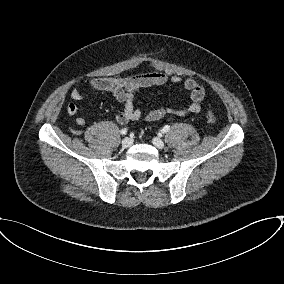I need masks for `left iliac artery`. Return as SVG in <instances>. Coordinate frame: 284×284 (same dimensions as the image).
Returning a JSON list of instances; mask_svg holds the SVG:
<instances>
[{
    "instance_id": "44dca946",
    "label": "left iliac artery",
    "mask_w": 284,
    "mask_h": 284,
    "mask_svg": "<svg viewBox=\"0 0 284 284\" xmlns=\"http://www.w3.org/2000/svg\"><path fill=\"white\" fill-rule=\"evenodd\" d=\"M169 130H170V126H169V125H165V126L162 128L161 132H162V133H167Z\"/></svg>"
}]
</instances>
